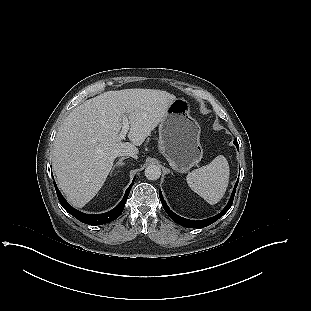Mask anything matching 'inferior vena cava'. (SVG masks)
I'll return each instance as SVG.
<instances>
[{
	"label": "inferior vena cava",
	"mask_w": 311,
	"mask_h": 311,
	"mask_svg": "<svg viewBox=\"0 0 311 311\" xmlns=\"http://www.w3.org/2000/svg\"><path fill=\"white\" fill-rule=\"evenodd\" d=\"M122 156H129L130 158L137 159V151L135 149H130L128 153H124Z\"/></svg>",
	"instance_id": "inferior-vena-cava-1"
}]
</instances>
